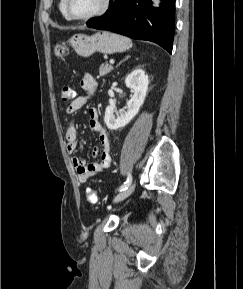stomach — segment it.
I'll return each mask as SVG.
<instances>
[{
  "label": "stomach",
  "mask_w": 243,
  "mask_h": 289,
  "mask_svg": "<svg viewBox=\"0 0 243 289\" xmlns=\"http://www.w3.org/2000/svg\"><path fill=\"white\" fill-rule=\"evenodd\" d=\"M68 42L82 57H88L96 51L104 54L124 52L131 45V41L127 37L108 31L97 32L91 36L78 33L73 35ZM66 51L64 43L56 44L53 49L54 55L59 59H64Z\"/></svg>",
  "instance_id": "0dacf381"
}]
</instances>
